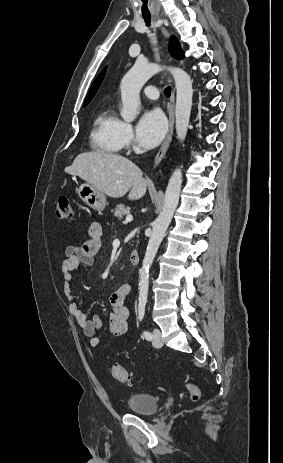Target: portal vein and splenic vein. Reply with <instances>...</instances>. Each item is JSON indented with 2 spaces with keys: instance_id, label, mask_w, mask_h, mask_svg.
<instances>
[{
  "instance_id": "portal-vein-and-splenic-vein-1",
  "label": "portal vein and splenic vein",
  "mask_w": 283,
  "mask_h": 463,
  "mask_svg": "<svg viewBox=\"0 0 283 463\" xmlns=\"http://www.w3.org/2000/svg\"><path fill=\"white\" fill-rule=\"evenodd\" d=\"M133 220V216L131 214H128L125 219V223H128Z\"/></svg>"
}]
</instances>
